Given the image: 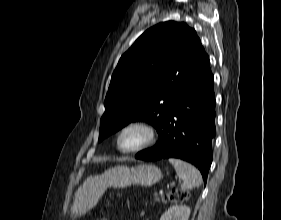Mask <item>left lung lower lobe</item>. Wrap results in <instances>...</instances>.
I'll list each match as a JSON object with an SVG mask.
<instances>
[{"label":"left lung lower lobe","mask_w":281,"mask_h":220,"mask_svg":"<svg viewBox=\"0 0 281 220\" xmlns=\"http://www.w3.org/2000/svg\"><path fill=\"white\" fill-rule=\"evenodd\" d=\"M213 84L209 57L205 54L176 90L174 106L158 132L159 142L135 158H180L195 165L206 183L216 134Z\"/></svg>","instance_id":"1"}]
</instances>
